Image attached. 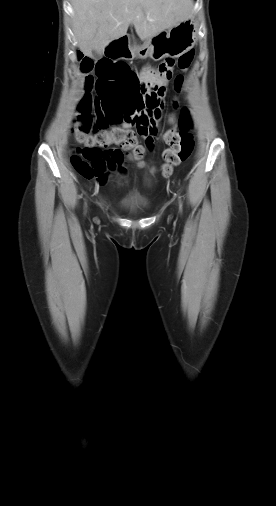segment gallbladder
Here are the masks:
<instances>
[{
    "mask_svg": "<svg viewBox=\"0 0 276 506\" xmlns=\"http://www.w3.org/2000/svg\"><path fill=\"white\" fill-rule=\"evenodd\" d=\"M93 55H94L95 58H100L101 57V54L97 53L96 51H93Z\"/></svg>",
    "mask_w": 276,
    "mask_h": 506,
    "instance_id": "1",
    "label": "gallbladder"
}]
</instances>
